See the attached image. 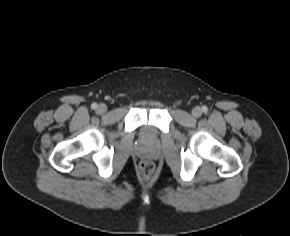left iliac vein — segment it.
<instances>
[{
    "label": "left iliac vein",
    "mask_w": 290,
    "mask_h": 236,
    "mask_svg": "<svg viewBox=\"0 0 290 236\" xmlns=\"http://www.w3.org/2000/svg\"><path fill=\"white\" fill-rule=\"evenodd\" d=\"M192 115H193L194 117H200V116L202 115V110H201V108H200V107H195V108H193V110H192Z\"/></svg>",
    "instance_id": "left-iliac-vein-1"
}]
</instances>
